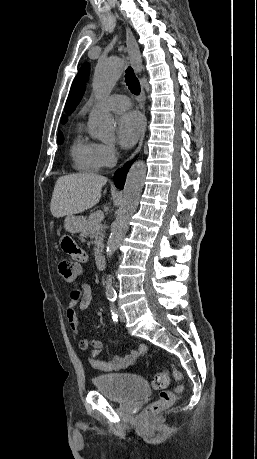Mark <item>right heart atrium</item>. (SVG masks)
I'll list each match as a JSON object with an SVG mask.
<instances>
[{"label":"right heart atrium","mask_w":257,"mask_h":459,"mask_svg":"<svg viewBox=\"0 0 257 459\" xmlns=\"http://www.w3.org/2000/svg\"><path fill=\"white\" fill-rule=\"evenodd\" d=\"M98 158L101 166L110 167L117 159V149L113 144L100 143L98 144Z\"/></svg>","instance_id":"obj_1"}]
</instances>
